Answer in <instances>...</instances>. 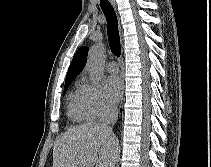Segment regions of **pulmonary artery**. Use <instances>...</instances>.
Segmentation results:
<instances>
[{"mask_svg": "<svg viewBox=\"0 0 211 167\" xmlns=\"http://www.w3.org/2000/svg\"><path fill=\"white\" fill-rule=\"evenodd\" d=\"M106 70L111 74H116L119 71V66L115 61H110L106 65Z\"/></svg>", "mask_w": 211, "mask_h": 167, "instance_id": "obj_1", "label": "pulmonary artery"}]
</instances>
